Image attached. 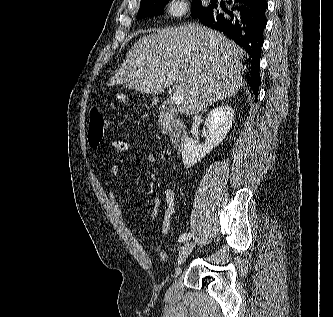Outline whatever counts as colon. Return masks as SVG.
Segmentation results:
<instances>
[{"label": "colon", "instance_id": "5ec220e1", "mask_svg": "<svg viewBox=\"0 0 333 317\" xmlns=\"http://www.w3.org/2000/svg\"><path fill=\"white\" fill-rule=\"evenodd\" d=\"M109 122L99 107H92L90 110V125L88 132V141L92 148H97L103 138L105 129Z\"/></svg>", "mask_w": 333, "mask_h": 317}]
</instances>
